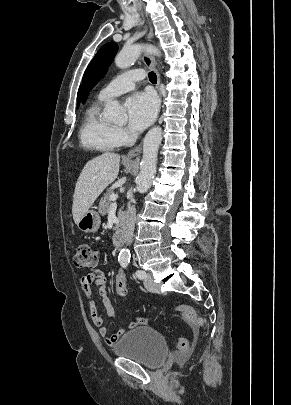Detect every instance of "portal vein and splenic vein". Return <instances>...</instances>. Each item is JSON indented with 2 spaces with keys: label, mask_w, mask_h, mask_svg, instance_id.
Returning a JSON list of instances; mask_svg holds the SVG:
<instances>
[{
  "label": "portal vein and splenic vein",
  "mask_w": 291,
  "mask_h": 405,
  "mask_svg": "<svg viewBox=\"0 0 291 405\" xmlns=\"http://www.w3.org/2000/svg\"><path fill=\"white\" fill-rule=\"evenodd\" d=\"M110 200L112 201L111 206H116L117 195H116V194H112V195L110 196Z\"/></svg>",
  "instance_id": "obj_1"
}]
</instances>
